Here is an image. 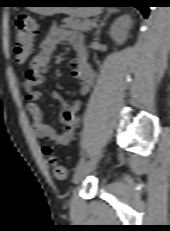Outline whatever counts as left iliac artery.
Masks as SVG:
<instances>
[{"instance_id":"obj_1","label":"left iliac artery","mask_w":170,"mask_h":231,"mask_svg":"<svg viewBox=\"0 0 170 231\" xmlns=\"http://www.w3.org/2000/svg\"><path fill=\"white\" fill-rule=\"evenodd\" d=\"M86 162L85 156L83 155L79 161V163L76 166V169L80 166H82Z\"/></svg>"}]
</instances>
